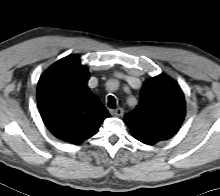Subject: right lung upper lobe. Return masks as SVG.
I'll use <instances>...</instances> for the list:
<instances>
[{
    "label": "right lung upper lobe",
    "instance_id": "obj_1",
    "mask_svg": "<svg viewBox=\"0 0 220 196\" xmlns=\"http://www.w3.org/2000/svg\"><path fill=\"white\" fill-rule=\"evenodd\" d=\"M89 77L80 57L69 55L50 66L38 82L37 102L45 125L57 138L72 144L95 135L110 116L88 88Z\"/></svg>",
    "mask_w": 220,
    "mask_h": 196
}]
</instances>
